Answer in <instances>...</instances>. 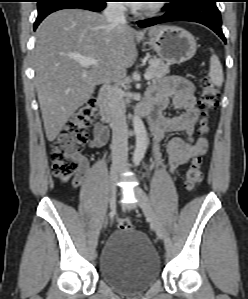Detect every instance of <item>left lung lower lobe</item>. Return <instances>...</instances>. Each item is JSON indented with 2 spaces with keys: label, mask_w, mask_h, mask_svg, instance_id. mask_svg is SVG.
I'll use <instances>...</instances> for the list:
<instances>
[{
  "label": "left lung lower lobe",
  "mask_w": 248,
  "mask_h": 299,
  "mask_svg": "<svg viewBox=\"0 0 248 299\" xmlns=\"http://www.w3.org/2000/svg\"><path fill=\"white\" fill-rule=\"evenodd\" d=\"M167 12L157 18L141 20L140 27H149L169 21L181 20L201 23L212 29L225 43L221 29V15L216 6L217 0H169Z\"/></svg>",
  "instance_id": "obj_1"
}]
</instances>
